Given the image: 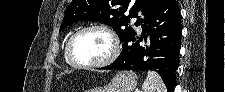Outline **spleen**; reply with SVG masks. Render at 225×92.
<instances>
[{
    "label": "spleen",
    "mask_w": 225,
    "mask_h": 92,
    "mask_svg": "<svg viewBox=\"0 0 225 92\" xmlns=\"http://www.w3.org/2000/svg\"><path fill=\"white\" fill-rule=\"evenodd\" d=\"M143 92H167L161 77L155 71H148L147 77L142 85Z\"/></svg>",
    "instance_id": "1"
}]
</instances>
